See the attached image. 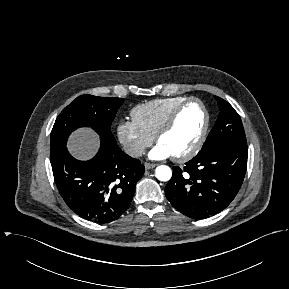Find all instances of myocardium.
<instances>
[{
    "instance_id": "f54148a6",
    "label": "myocardium",
    "mask_w": 289,
    "mask_h": 289,
    "mask_svg": "<svg viewBox=\"0 0 289 289\" xmlns=\"http://www.w3.org/2000/svg\"><path fill=\"white\" fill-rule=\"evenodd\" d=\"M191 103H197L201 106L205 116L204 125L197 141L187 152L180 155L172 156L173 159L177 162H185L193 158L200 151L206 140L210 127V113L205 103L201 99L196 97L187 98L172 111V113L169 115L167 120L164 122V124L160 127V129L155 135V140L157 143H159L160 139L174 127L182 110Z\"/></svg>"
}]
</instances>
